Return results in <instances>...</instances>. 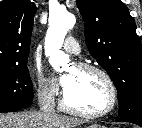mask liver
<instances>
[{"label":"liver","mask_w":142,"mask_h":128,"mask_svg":"<svg viewBox=\"0 0 142 128\" xmlns=\"http://www.w3.org/2000/svg\"><path fill=\"white\" fill-rule=\"evenodd\" d=\"M80 120L40 111L0 114V128H76Z\"/></svg>","instance_id":"liver-1"}]
</instances>
